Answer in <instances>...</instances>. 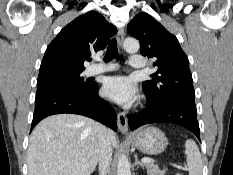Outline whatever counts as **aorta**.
Listing matches in <instances>:
<instances>
[{
    "label": "aorta",
    "mask_w": 233,
    "mask_h": 175,
    "mask_svg": "<svg viewBox=\"0 0 233 175\" xmlns=\"http://www.w3.org/2000/svg\"><path fill=\"white\" fill-rule=\"evenodd\" d=\"M123 47L128 53H136L139 50L140 45L136 39L126 38L123 43ZM117 174L118 175H131L130 163L128 161V158L124 154L119 156Z\"/></svg>",
    "instance_id": "aorta-1"
}]
</instances>
